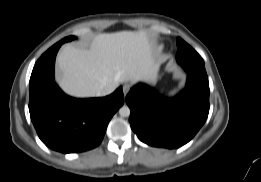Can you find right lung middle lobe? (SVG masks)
Masks as SVG:
<instances>
[{
  "mask_svg": "<svg viewBox=\"0 0 261 182\" xmlns=\"http://www.w3.org/2000/svg\"><path fill=\"white\" fill-rule=\"evenodd\" d=\"M74 39H76L75 36H69V37H66V38L62 39L61 42L64 43V42L72 41Z\"/></svg>",
  "mask_w": 261,
  "mask_h": 182,
  "instance_id": "dd1d6c3e",
  "label": "right lung middle lobe"
}]
</instances>
